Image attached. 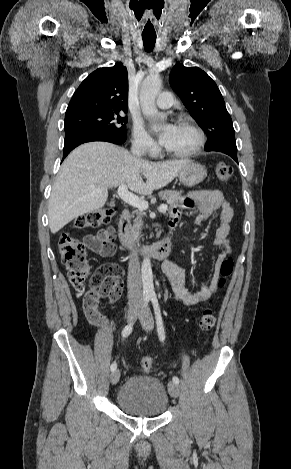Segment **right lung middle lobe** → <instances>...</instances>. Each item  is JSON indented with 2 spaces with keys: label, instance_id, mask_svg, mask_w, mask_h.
I'll return each instance as SVG.
<instances>
[{
  "label": "right lung middle lobe",
  "instance_id": "right-lung-middle-lobe-1",
  "mask_svg": "<svg viewBox=\"0 0 291 469\" xmlns=\"http://www.w3.org/2000/svg\"><path fill=\"white\" fill-rule=\"evenodd\" d=\"M127 117H121L117 110L89 109L66 113L65 134L77 131L105 133L126 132Z\"/></svg>",
  "mask_w": 291,
  "mask_h": 469
}]
</instances>
